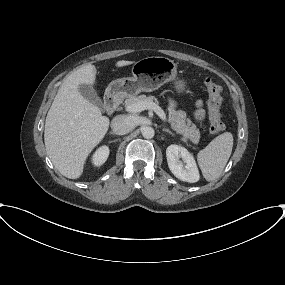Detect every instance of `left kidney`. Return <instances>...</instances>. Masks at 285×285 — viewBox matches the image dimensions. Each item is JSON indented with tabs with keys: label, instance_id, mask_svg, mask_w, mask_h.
<instances>
[{
	"label": "left kidney",
	"instance_id": "1",
	"mask_svg": "<svg viewBox=\"0 0 285 285\" xmlns=\"http://www.w3.org/2000/svg\"><path fill=\"white\" fill-rule=\"evenodd\" d=\"M170 171L181 181L195 183L199 180V171L193 155L184 147L170 145L166 149Z\"/></svg>",
	"mask_w": 285,
	"mask_h": 285
}]
</instances>
